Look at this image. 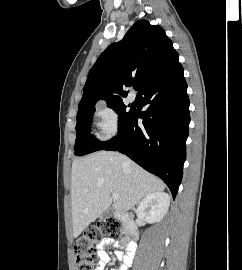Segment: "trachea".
<instances>
[{
    "label": "trachea",
    "instance_id": "obj_1",
    "mask_svg": "<svg viewBox=\"0 0 242 270\" xmlns=\"http://www.w3.org/2000/svg\"><path fill=\"white\" fill-rule=\"evenodd\" d=\"M133 88H134L135 90H137V89H138V84H134V85H133Z\"/></svg>",
    "mask_w": 242,
    "mask_h": 270
}]
</instances>
